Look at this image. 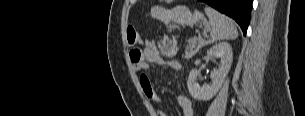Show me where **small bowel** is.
Returning <instances> with one entry per match:
<instances>
[{
	"label": "small bowel",
	"instance_id": "1",
	"mask_svg": "<svg viewBox=\"0 0 305 116\" xmlns=\"http://www.w3.org/2000/svg\"><path fill=\"white\" fill-rule=\"evenodd\" d=\"M130 58L133 63V68L137 72L147 70L150 64L171 68L177 71L181 69V65L177 61L164 59L156 45L149 40L144 44L142 50L136 49L135 52L131 51ZM140 83L145 96L149 100L158 104H163V99L157 94L151 81L146 75L141 76ZM176 102L181 110L182 116H194L193 105L188 97L179 95L176 98ZM158 115L168 116L164 111H159Z\"/></svg>",
	"mask_w": 305,
	"mask_h": 116
}]
</instances>
